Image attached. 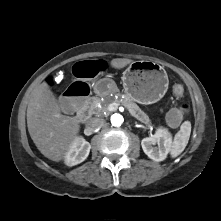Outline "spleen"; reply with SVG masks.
<instances>
[{"label": "spleen", "instance_id": "obj_1", "mask_svg": "<svg viewBox=\"0 0 221 221\" xmlns=\"http://www.w3.org/2000/svg\"><path fill=\"white\" fill-rule=\"evenodd\" d=\"M191 134V123L189 121H185L181 127L180 130L177 132V134L174 137V142L171 147V156L173 158L180 155L185 147L188 144L189 138Z\"/></svg>", "mask_w": 221, "mask_h": 221}]
</instances>
